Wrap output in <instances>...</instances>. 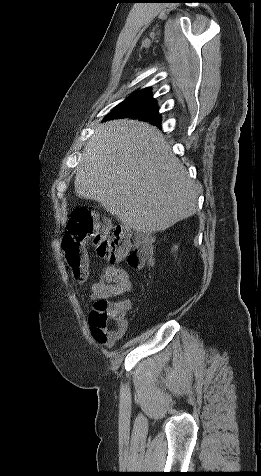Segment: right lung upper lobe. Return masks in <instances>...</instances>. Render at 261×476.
Listing matches in <instances>:
<instances>
[{"label":"right lung upper lobe","mask_w":261,"mask_h":476,"mask_svg":"<svg viewBox=\"0 0 261 476\" xmlns=\"http://www.w3.org/2000/svg\"><path fill=\"white\" fill-rule=\"evenodd\" d=\"M150 90V88H146L141 91H137L123 102H155L151 96Z\"/></svg>","instance_id":"cb5924a9"}]
</instances>
